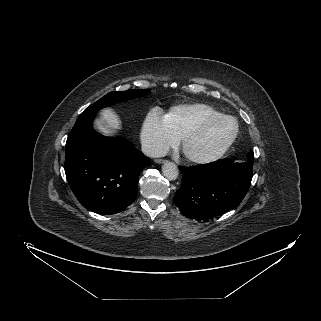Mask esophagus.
<instances>
[{
  "mask_svg": "<svg viewBox=\"0 0 321 321\" xmlns=\"http://www.w3.org/2000/svg\"><path fill=\"white\" fill-rule=\"evenodd\" d=\"M154 162L158 163V164H162V163H165L166 160L165 159H155Z\"/></svg>",
  "mask_w": 321,
  "mask_h": 321,
  "instance_id": "esophagus-1",
  "label": "esophagus"
}]
</instances>
